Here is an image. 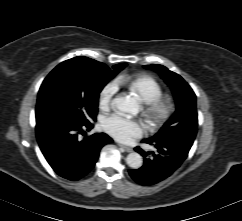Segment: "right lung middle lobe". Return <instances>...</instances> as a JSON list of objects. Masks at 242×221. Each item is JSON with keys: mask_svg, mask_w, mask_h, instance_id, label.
<instances>
[{"mask_svg": "<svg viewBox=\"0 0 242 221\" xmlns=\"http://www.w3.org/2000/svg\"><path fill=\"white\" fill-rule=\"evenodd\" d=\"M126 64L113 66L89 60L60 63L43 81L36 106V121L61 118L73 122L95 120L99 93Z\"/></svg>", "mask_w": 242, "mask_h": 221, "instance_id": "1", "label": "right lung middle lobe"}]
</instances>
